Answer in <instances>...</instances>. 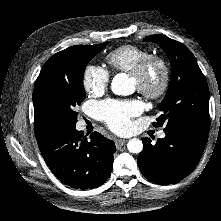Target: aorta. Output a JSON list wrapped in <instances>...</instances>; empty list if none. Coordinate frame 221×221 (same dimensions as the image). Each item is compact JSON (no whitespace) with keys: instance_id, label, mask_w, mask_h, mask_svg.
Returning <instances> with one entry per match:
<instances>
[{"instance_id":"762f6f07","label":"aorta","mask_w":221,"mask_h":221,"mask_svg":"<svg viewBox=\"0 0 221 221\" xmlns=\"http://www.w3.org/2000/svg\"><path fill=\"white\" fill-rule=\"evenodd\" d=\"M111 90L116 95H129L134 91V86L124 73L117 74L111 83ZM127 149L131 153H140L143 149V143L137 138L128 141Z\"/></svg>"}]
</instances>
